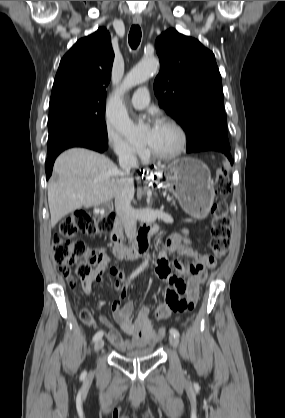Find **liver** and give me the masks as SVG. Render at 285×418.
Returning <instances> with one entry per match:
<instances>
[{
    "mask_svg": "<svg viewBox=\"0 0 285 418\" xmlns=\"http://www.w3.org/2000/svg\"><path fill=\"white\" fill-rule=\"evenodd\" d=\"M57 180L48 183L51 227L82 207L110 202L119 190L120 170L105 155L72 148L60 154L53 167Z\"/></svg>",
    "mask_w": 285,
    "mask_h": 418,
    "instance_id": "1",
    "label": "liver"
}]
</instances>
